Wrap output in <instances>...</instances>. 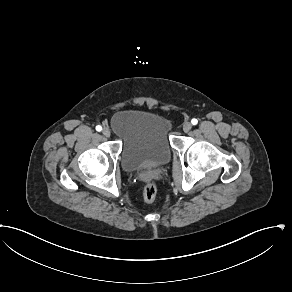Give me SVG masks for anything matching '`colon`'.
Segmentation results:
<instances>
[{
  "label": "colon",
  "instance_id": "1",
  "mask_svg": "<svg viewBox=\"0 0 292 292\" xmlns=\"http://www.w3.org/2000/svg\"><path fill=\"white\" fill-rule=\"evenodd\" d=\"M157 195V186L153 181H147L143 187V201L146 204H152Z\"/></svg>",
  "mask_w": 292,
  "mask_h": 292
}]
</instances>
